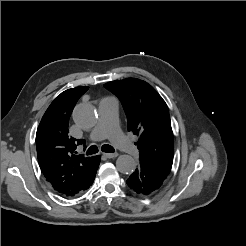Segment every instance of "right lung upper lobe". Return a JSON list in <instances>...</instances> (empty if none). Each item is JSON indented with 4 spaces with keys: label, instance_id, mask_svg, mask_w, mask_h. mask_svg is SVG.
Returning <instances> with one entry per match:
<instances>
[{
    "label": "right lung upper lobe",
    "instance_id": "1",
    "mask_svg": "<svg viewBox=\"0 0 246 246\" xmlns=\"http://www.w3.org/2000/svg\"><path fill=\"white\" fill-rule=\"evenodd\" d=\"M88 87L62 92L50 104L36 133L39 166L46 180L65 197L78 194L94 170L95 157L75 155L76 146L84 140L69 136V119L78 99Z\"/></svg>",
    "mask_w": 246,
    "mask_h": 246
}]
</instances>
